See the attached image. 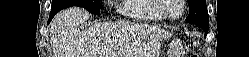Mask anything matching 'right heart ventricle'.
Here are the masks:
<instances>
[{"mask_svg": "<svg viewBox=\"0 0 249 57\" xmlns=\"http://www.w3.org/2000/svg\"><path fill=\"white\" fill-rule=\"evenodd\" d=\"M120 11L123 15L139 21H160L164 17L157 8L158 0H124Z\"/></svg>", "mask_w": 249, "mask_h": 57, "instance_id": "right-heart-ventricle-1", "label": "right heart ventricle"}]
</instances>
